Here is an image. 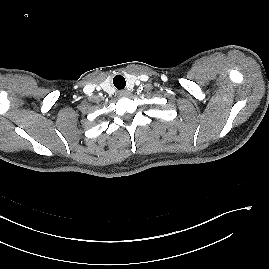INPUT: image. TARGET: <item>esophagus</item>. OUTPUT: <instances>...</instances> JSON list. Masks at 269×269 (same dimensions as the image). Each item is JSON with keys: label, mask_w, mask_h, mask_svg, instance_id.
<instances>
[{"label": "esophagus", "mask_w": 269, "mask_h": 269, "mask_svg": "<svg viewBox=\"0 0 269 269\" xmlns=\"http://www.w3.org/2000/svg\"><path fill=\"white\" fill-rule=\"evenodd\" d=\"M119 95H120L121 97H126V96L128 95V92H127V91H120V92H119Z\"/></svg>", "instance_id": "1"}]
</instances>
